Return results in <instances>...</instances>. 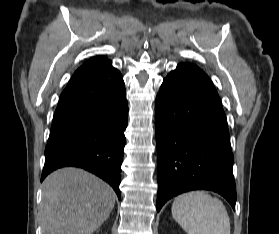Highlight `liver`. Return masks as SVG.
Listing matches in <instances>:
<instances>
[{
    "label": "liver",
    "instance_id": "1",
    "mask_svg": "<svg viewBox=\"0 0 279 234\" xmlns=\"http://www.w3.org/2000/svg\"><path fill=\"white\" fill-rule=\"evenodd\" d=\"M115 201L113 189L98 177L82 169H59L43 183L42 234H92Z\"/></svg>",
    "mask_w": 279,
    "mask_h": 234
}]
</instances>
